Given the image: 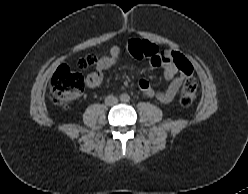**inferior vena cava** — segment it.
<instances>
[{
	"mask_svg": "<svg viewBox=\"0 0 248 194\" xmlns=\"http://www.w3.org/2000/svg\"><path fill=\"white\" fill-rule=\"evenodd\" d=\"M118 103V99L115 96H107L105 98V104L108 106H113Z\"/></svg>",
	"mask_w": 248,
	"mask_h": 194,
	"instance_id": "obj_1",
	"label": "inferior vena cava"
}]
</instances>
